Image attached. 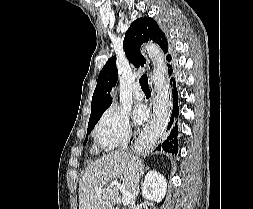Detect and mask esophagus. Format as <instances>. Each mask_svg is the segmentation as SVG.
I'll return each mask as SVG.
<instances>
[{"mask_svg": "<svg viewBox=\"0 0 253 209\" xmlns=\"http://www.w3.org/2000/svg\"><path fill=\"white\" fill-rule=\"evenodd\" d=\"M153 116L152 109H151V117Z\"/></svg>", "mask_w": 253, "mask_h": 209, "instance_id": "esophagus-1", "label": "esophagus"}]
</instances>
